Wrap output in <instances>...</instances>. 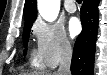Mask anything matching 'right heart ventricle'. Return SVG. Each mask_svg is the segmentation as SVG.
I'll list each match as a JSON object with an SVG mask.
<instances>
[{"instance_id": "e07e8e85", "label": "right heart ventricle", "mask_w": 107, "mask_h": 75, "mask_svg": "<svg viewBox=\"0 0 107 75\" xmlns=\"http://www.w3.org/2000/svg\"><path fill=\"white\" fill-rule=\"evenodd\" d=\"M31 65L34 67H40L42 65L41 61L39 60V58L35 55H33L31 57V61H30Z\"/></svg>"}]
</instances>
